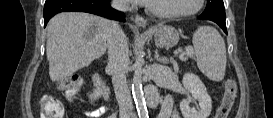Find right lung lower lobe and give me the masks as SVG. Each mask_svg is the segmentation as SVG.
<instances>
[{
    "label": "right lung lower lobe",
    "instance_id": "obj_1",
    "mask_svg": "<svg viewBox=\"0 0 273 118\" xmlns=\"http://www.w3.org/2000/svg\"><path fill=\"white\" fill-rule=\"evenodd\" d=\"M109 2L110 0H46L44 27L55 14L67 11L87 12L124 22V13L111 8Z\"/></svg>",
    "mask_w": 273,
    "mask_h": 118
}]
</instances>
